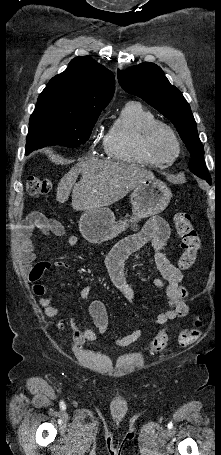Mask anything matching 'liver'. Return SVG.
<instances>
[{
	"label": "liver",
	"instance_id": "liver-1",
	"mask_svg": "<svg viewBox=\"0 0 221 455\" xmlns=\"http://www.w3.org/2000/svg\"><path fill=\"white\" fill-rule=\"evenodd\" d=\"M81 173L78 183L76 180ZM154 174L137 165L89 159L77 163L65 174L57 187L56 200L64 203L72 191L76 211L111 205Z\"/></svg>",
	"mask_w": 221,
	"mask_h": 455
}]
</instances>
